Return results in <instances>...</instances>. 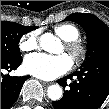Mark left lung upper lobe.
<instances>
[{
	"mask_svg": "<svg viewBox=\"0 0 109 109\" xmlns=\"http://www.w3.org/2000/svg\"><path fill=\"white\" fill-rule=\"evenodd\" d=\"M81 25L87 36V56L82 67L101 59L109 58V27L93 14L73 13L66 18ZM68 102H77L81 96L78 88L68 89Z\"/></svg>",
	"mask_w": 109,
	"mask_h": 109,
	"instance_id": "1",
	"label": "left lung upper lobe"
}]
</instances>
